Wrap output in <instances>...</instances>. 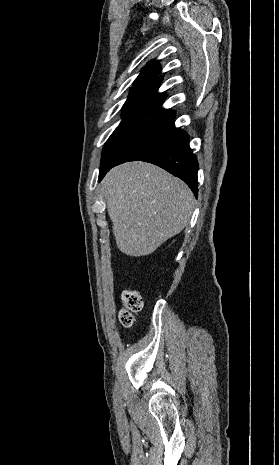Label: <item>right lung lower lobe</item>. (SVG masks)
<instances>
[{
    "instance_id": "1",
    "label": "right lung lower lobe",
    "mask_w": 279,
    "mask_h": 465,
    "mask_svg": "<svg viewBox=\"0 0 279 465\" xmlns=\"http://www.w3.org/2000/svg\"><path fill=\"white\" fill-rule=\"evenodd\" d=\"M142 161L158 165L174 176L179 177L188 184L197 197L198 162L189 147V136L185 131L181 130L178 140L173 145L158 151ZM113 166L116 165L100 168L98 181H101Z\"/></svg>"
}]
</instances>
